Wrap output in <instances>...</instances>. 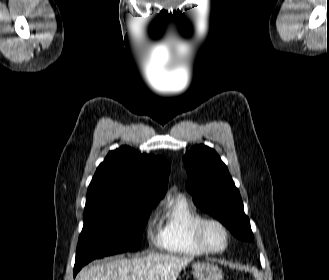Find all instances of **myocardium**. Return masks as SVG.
I'll return each mask as SVG.
<instances>
[{
	"mask_svg": "<svg viewBox=\"0 0 329 280\" xmlns=\"http://www.w3.org/2000/svg\"><path fill=\"white\" fill-rule=\"evenodd\" d=\"M209 225L218 226L225 235V244L219 249H214L205 240V229ZM194 240L197 246L207 254H221L227 250L230 244L231 234L228 227L219 219L213 217H203L194 227Z\"/></svg>",
	"mask_w": 329,
	"mask_h": 280,
	"instance_id": "myocardium-1",
	"label": "myocardium"
}]
</instances>
